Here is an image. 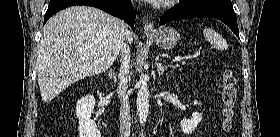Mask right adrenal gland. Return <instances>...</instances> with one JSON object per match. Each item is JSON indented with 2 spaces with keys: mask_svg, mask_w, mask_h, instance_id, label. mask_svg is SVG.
Here are the masks:
<instances>
[{
  "mask_svg": "<svg viewBox=\"0 0 280 137\" xmlns=\"http://www.w3.org/2000/svg\"><path fill=\"white\" fill-rule=\"evenodd\" d=\"M111 73H112V71H111ZM113 77V80H114V82L116 81V79H117V73L115 72V69H114V71H113V76L111 75V78Z\"/></svg>",
  "mask_w": 280,
  "mask_h": 137,
  "instance_id": "2a0ac1e0",
  "label": "right adrenal gland"
}]
</instances>
